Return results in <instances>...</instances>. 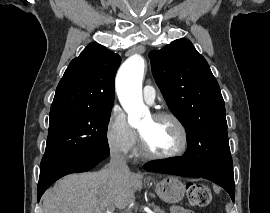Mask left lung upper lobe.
I'll list each match as a JSON object with an SVG mask.
<instances>
[{
  "label": "left lung upper lobe",
  "mask_w": 270,
  "mask_h": 213,
  "mask_svg": "<svg viewBox=\"0 0 270 213\" xmlns=\"http://www.w3.org/2000/svg\"><path fill=\"white\" fill-rule=\"evenodd\" d=\"M152 73L205 170L231 167L225 104L205 58L187 39L150 52Z\"/></svg>",
  "instance_id": "obj_1"
}]
</instances>
